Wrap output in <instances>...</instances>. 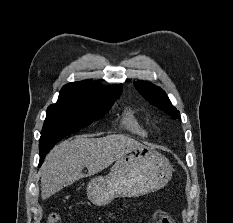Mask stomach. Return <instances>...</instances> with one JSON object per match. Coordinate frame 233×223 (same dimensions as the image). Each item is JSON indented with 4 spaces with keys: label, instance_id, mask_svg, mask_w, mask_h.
<instances>
[{
    "label": "stomach",
    "instance_id": "obj_1",
    "mask_svg": "<svg viewBox=\"0 0 233 223\" xmlns=\"http://www.w3.org/2000/svg\"><path fill=\"white\" fill-rule=\"evenodd\" d=\"M172 171L167 157L140 143L118 157L107 175L88 181L87 197L94 205H107L115 197H139L164 187Z\"/></svg>",
    "mask_w": 233,
    "mask_h": 223
}]
</instances>
